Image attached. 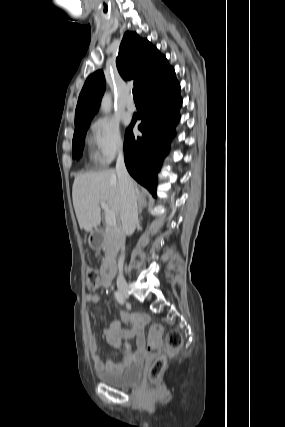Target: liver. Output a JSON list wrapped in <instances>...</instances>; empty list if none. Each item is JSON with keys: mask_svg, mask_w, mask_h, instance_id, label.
<instances>
[{"mask_svg": "<svg viewBox=\"0 0 285 427\" xmlns=\"http://www.w3.org/2000/svg\"><path fill=\"white\" fill-rule=\"evenodd\" d=\"M133 185L135 194L141 195L137 185ZM72 199L79 226L87 232L101 223V201L119 216L122 198L116 171L107 169L77 175L72 187Z\"/></svg>", "mask_w": 285, "mask_h": 427, "instance_id": "6515ba94", "label": "liver"}]
</instances>
